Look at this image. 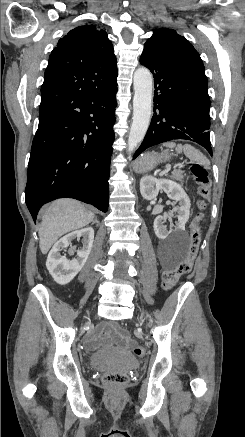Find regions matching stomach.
<instances>
[{"label": "stomach", "instance_id": "0dacf381", "mask_svg": "<svg viewBox=\"0 0 245 437\" xmlns=\"http://www.w3.org/2000/svg\"><path fill=\"white\" fill-rule=\"evenodd\" d=\"M170 158L168 151L161 155L155 152H148L141 156L134 165L136 172L145 173L154 169L159 163L167 161Z\"/></svg>", "mask_w": 245, "mask_h": 437}]
</instances>
